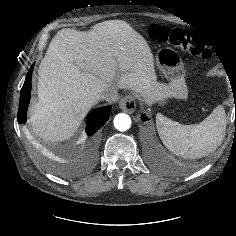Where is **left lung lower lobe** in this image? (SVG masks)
<instances>
[{
    "label": "left lung lower lobe",
    "mask_w": 236,
    "mask_h": 236,
    "mask_svg": "<svg viewBox=\"0 0 236 236\" xmlns=\"http://www.w3.org/2000/svg\"><path fill=\"white\" fill-rule=\"evenodd\" d=\"M141 119H142V121H147L148 120L147 116L144 115V114L141 115Z\"/></svg>",
    "instance_id": "left-lung-lower-lobe-1"
}]
</instances>
